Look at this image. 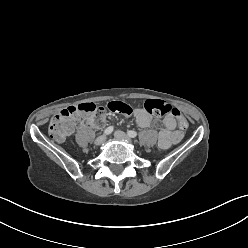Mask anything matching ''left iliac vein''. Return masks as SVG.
<instances>
[{"instance_id":"4c4485c4","label":"left iliac vein","mask_w":248,"mask_h":248,"mask_svg":"<svg viewBox=\"0 0 248 248\" xmlns=\"http://www.w3.org/2000/svg\"><path fill=\"white\" fill-rule=\"evenodd\" d=\"M114 136L118 140L126 141L128 143L132 142L131 138L128 135H126L124 132L120 131V130L115 131Z\"/></svg>"}]
</instances>
